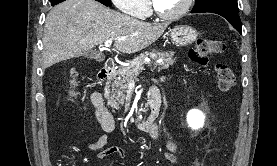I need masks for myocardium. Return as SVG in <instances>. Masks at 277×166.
<instances>
[{"mask_svg": "<svg viewBox=\"0 0 277 166\" xmlns=\"http://www.w3.org/2000/svg\"><path fill=\"white\" fill-rule=\"evenodd\" d=\"M192 3H193V0H185L183 6L178 11L171 14H166L157 7L154 0H151V9H152V12L155 14V16H157L158 18L166 21H173L185 15L191 8Z\"/></svg>", "mask_w": 277, "mask_h": 166, "instance_id": "myocardium-1", "label": "myocardium"}]
</instances>
